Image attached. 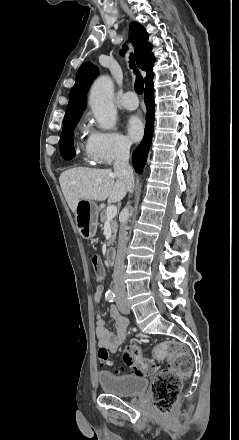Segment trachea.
I'll return each instance as SVG.
<instances>
[{"label": "trachea", "mask_w": 239, "mask_h": 440, "mask_svg": "<svg viewBox=\"0 0 239 440\" xmlns=\"http://www.w3.org/2000/svg\"><path fill=\"white\" fill-rule=\"evenodd\" d=\"M129 66L133 70V73L136 75V80H135V84H134L135 91L139 95H142L144 82H143V78L141 77V74L139 73L138 68L135 65L133 54H130Z\"/></svg>", "instance_id": "1"}]
</instances>
